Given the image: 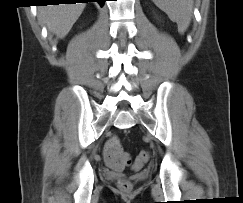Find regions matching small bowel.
<instances>
[{
    "mask_svg": "<svg viewBox=\"0 0 243 203\" xmlns=\"http://www.w3.org/2000/svg\"><path fill=\"white\" fill-rule=\"evenodd\" d=\"M121 150L120 141L116 136L111 137L104 145L103 156L106 164L114 171L120 172L124 168V164L119 161L118 153ZM140 166L136 162L134 168Z\"/></svg>",
    "mask_w": 243,
    "mask_h": 203,
    "instance_id": "c3829d8e",
    "label": "small bowel"
}]
</instances>
